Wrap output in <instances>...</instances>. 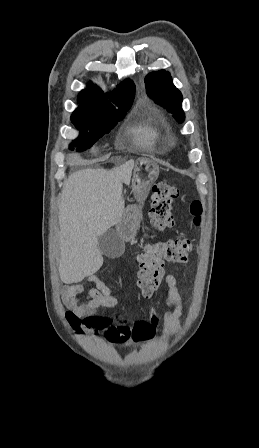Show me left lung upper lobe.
Returning a JSON list of instances; mask_svg holds the SVG:
<instances>
[{
  "label": "left lung upper lobe",
  "instance_id": "5c2ea615",
  "mask_svg": "<svg viewBox=\"0 0 259 448\" xmlns=\"http://www.w3.org/2000/svg\"><path fill=\"white\" fill-rule=\"evenodd\" d=\"M148 96L172 113L182 123L185 114L182 110V94L174 86L170 73L165 70L152 72L145 78Z\"/></svg>",
  "mask_w": 259,
  "mask_h": 448
}]
</instances>
